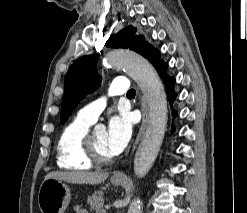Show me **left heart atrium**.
<instances>
[{"instance_id": "left-heart-atrium-1", "label": "left heart atrium", "mask_w": 247, "mask_h": 213, "mask_svg": "<svg viewBox=\"0 0 247 213\" xmlns=\"http://www.w3.org/2000/svg\"><path fill=\"white\" fill-rule=\"evenodd\" d=\"M131 134L132 124L127 115H115L109 120L106 145L113 156L120 154L125 149Z\"/></svg>"}]
</instances>
